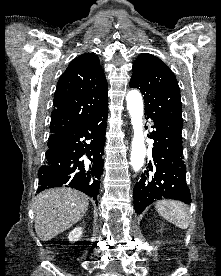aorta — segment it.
<instances>
[{
	"label": "aorta",
	"instance_id": "obj_1",
	"mask_svg": "<svg viewBox=\"0 0 221 276\" xmlns=\"http://www.w3.org/2000/svg\"><path fill=\"white\" fill-rule=\"evenodd\" d=\"M126 101L134 131L130 163L133 170L137 172L142 168L146 155L143 133V100L139 91L131 90L127 93Z\"/></svg>",
	"mask_w": 221,
	"mask_h": 276
}]
</instances>
